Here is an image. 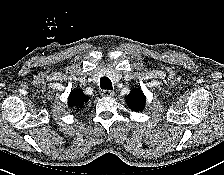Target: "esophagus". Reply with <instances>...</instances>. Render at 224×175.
<instances>
[{"label": "esophagus", "instance_id": "34e87169", "mask_svg": "<svg viewBox=\"0 0 224 175\" xmlns=\"http://www.w3.org/2000/svg\"><path fill=\"white\" fill-rule=\"evenodd\" d=\"M102 96L104 97H111L114 95V91L112 90H102Z\"/></svg>", "mask_w": 224, "mask_h": 175}]
</instances>
